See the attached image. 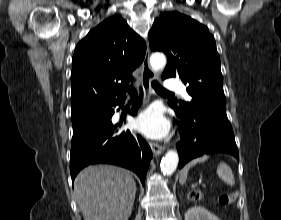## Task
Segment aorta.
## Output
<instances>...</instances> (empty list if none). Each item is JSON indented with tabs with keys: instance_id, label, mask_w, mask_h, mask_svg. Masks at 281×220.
<instances>
[{
	"instance_id": "762f6f07",
	"label": "aorta",
	"mask_w": 281,
	"mask_h": 220,
	"mask_svg": "<svg viewBox=\"0 0 281 220\" xmlns=\"http://www.w3.org/2000/svg\"><path fill=\"white\" fill-rule=\"evenodd\" d=\"M166 57L163 53H153L150 57V65L154 72L162 71L166 66ZM179 156L174 150H169L161 160V171L164 175H171L178 166Z\"/></svg>"
}]
</instances>
